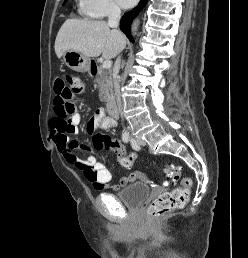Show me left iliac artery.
Wrapping results in <instances>:
<instances>
[{
  "instance_id": "1",
  "label": "left iliac artery",
  "mask_w": 248,
  "mask_h": 258,
  "mask_svg": "<svg viewBox=\"0 0 248 258\" xmlns=\"http://www.w3.org/2000/svg\"><path fill=\"white\" fill-rule=\"evenodd\" d=\"M130 142H131V145H132L133 149H135V150H139L140 149V147L137 144V142L135 141V139L132 138Z\"/></svg>"
}]
</instances>
